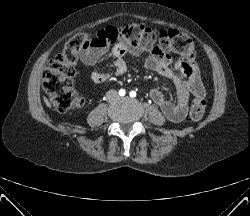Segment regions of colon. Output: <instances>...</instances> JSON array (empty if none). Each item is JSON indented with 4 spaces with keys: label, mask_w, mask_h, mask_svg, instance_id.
Segmentation results:
<instances>
[{
    "label": "colon",
    "mask_w": 250,
    "mask_h": 216,
    "mask_svg": "<svg viewBox=\"0 0 250 216\" xmlns=\"http://www.w3.org/2000/svg\"><path fill=\"white\" fill-rule=\"evenodd\" d=\"M117 41L146 50H151L154 44L161 43L166 52H174L189 61L195 57L191 38L176 30L156 31L142 24H129L106 27L94 37L86 34L76 35L49 61L43 74V88L55 109L59 112H71L84 105V99L77 94L72 83L79 52L90 46L107 47ZM205 109L204 97L195 96L190 107V118L200 120Z\"/></svg>",
    "instance_id": "colon-1"
}]
</instances>
